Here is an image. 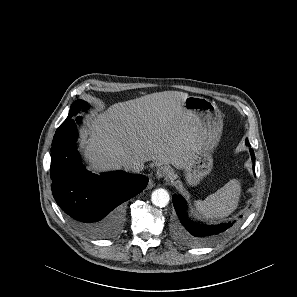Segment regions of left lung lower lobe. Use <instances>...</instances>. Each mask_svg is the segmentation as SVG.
I'll return each instance as SVG.
<instances>
[{
  "instance_id": "0a47b994",
  "label": "left lung lower lobe",
  "mask_w": 297,
  "mask_h": 297,
  "mask_svg": "<svg viewBox=\"0 0 297 297\" xmlns=\"http://www.w3.org/2000/svg\"><path fill=\"white\" fill-rule=\"evenodd\" d=\"M246 145L250 144L246 141ZM253 164L255 163V155L253 149H250ZM255 173V168L253 166ZM176 214L179 221L175 224L173 235L180 243L187 246H202L213 243L226 234L234 225L235 221L218 224L207 225L195 222L188 218L186 213V202L182 196L175 195L172 198Z\"/></svg>"
}]
</instances>
